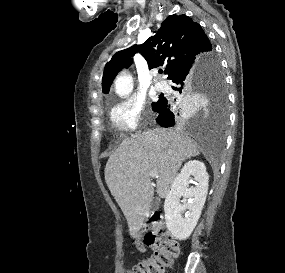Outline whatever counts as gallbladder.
I'll list each match as a JSON object with an SVG mask.
<instances>
[{"mask_svg": "<svg viewBox=\"0 0 285 273\" xmlns=\"http://www.w3.org/2000/svg\"><path fill=\"white\" fill-rule=\"evenodd\" d=\"M159 203V198L158 197H153L151 201V208L155 209L157 208Z\"/></svg>", "mask_w": 285, "mask_h": 273, "instance_id": "gallbladder-1", "label": "gallbladder"}]
</instances>
